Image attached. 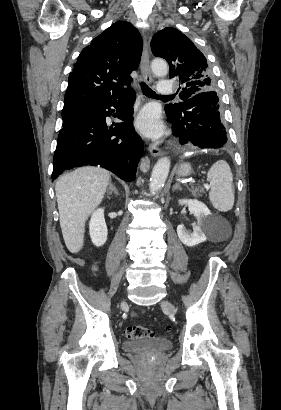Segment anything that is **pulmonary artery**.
Returning a JSON list of instances; mask_svg holds the SVG:
<instances>
[{"label":"pulmonary artery","mask_w":281,"mask_h":410,"mask_svg":"<svg viewBox=\"0 0 281 410\" xmlns=\"http://www.w3.org/2000/svg\"><path fill=\"white\" fill-rule=\"evenodd\" d=\"M174 89L175 87L171 81L161 82L158 86V92L161 94H172Z\"/></svg>","instance_id":"e3ab8cb5"}]
</instances>
